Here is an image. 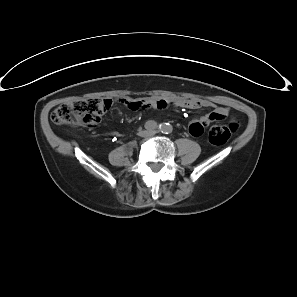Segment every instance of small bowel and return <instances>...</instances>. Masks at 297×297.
<instances>
[{
    "instance_id": "small-bowel-1",
    "label": "small bowel",
    "mask_w": 297,
    "mask_h": 297,
    "mask_svg": "<svg viewBox=\"0 0 297 297\" xmlns=\"http://www.w3.org/2000/svg\"><path fill=\"white\" fill-rule=\"evenodd\" d=\"M123 103L131 110H144L148 108L165 109L168 106H175L186 109H200L212 106V103L207 100H200L195 98H177L171 100H154L150 98L139 100L126 99L123 100ZM228 114L229 109L227 107H216L212 113L194 119L189 126V132L192 136L198 137L203 133L204 128H206L209 124L225 119Z\"/></svg>"
}]
</instances>
